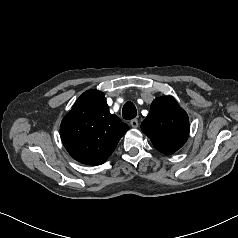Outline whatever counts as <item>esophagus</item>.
I'll return each mask as SVG.
<instances>
[{
	"mask_svg": "<svg viewBox=\"0 0 238 238\" xmlns=\"http://www.w3.org/2000/svg\"><path fill=\"white\" fill-rule=\"evenodd\" d=\"M130 125H131V127H133V128H137L138 125H139L138 120H137V119H132V120L130 121Z\"/></svg>",
	"mask_w": 238,
	"mask_h": 238,
	"instance_id": "esophagus-1",
	"label": "esophagus"
}]
</instances>
